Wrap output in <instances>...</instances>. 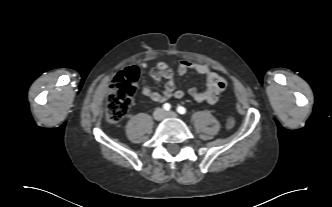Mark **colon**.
Segmentation results:
<instances>
[{"instance_id": "obj_1", "label": "colon", "mask_w": 332, "mask_h": 207, "mask_svg": "<svg viewBox=\"0 0 332 207\" xmlns=\"http://www.w3.org/2000/svg\"><path fill=\"white\" fill-rule=\"evenodd\" d=\"M138 70L128 67L114 77L106 102L105 117L110 123H117L128 113L132 98L138 89ZM235 125L233 118H228L226 128L231 130Z\"/></svg>"}]
</instances>
